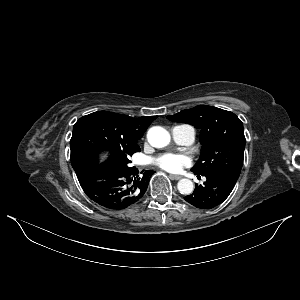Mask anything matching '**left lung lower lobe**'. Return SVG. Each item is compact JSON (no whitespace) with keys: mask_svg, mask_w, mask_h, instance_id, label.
I'll list each match as a JSON object with an SVG mask.
<instances>
[{"mask_svg":"<svg viewBox=\"0 0 300 300\" xmlns=\"http://www.w3.org/2000/svg\"><path fill=\"white\" fill-rule=\"evenodd\" d=\"M202 176L207 178L204 185L196 184L194 192L184 197L188 203L200 209H212L225 201L238 180V176L224 171Z\"/></svg>","mask_w":300,"mask_h":300,"instance_id":"left-lung-lower-lobe-1","label":"left lung lower lobe"}]
</instances>
